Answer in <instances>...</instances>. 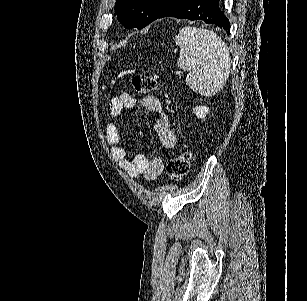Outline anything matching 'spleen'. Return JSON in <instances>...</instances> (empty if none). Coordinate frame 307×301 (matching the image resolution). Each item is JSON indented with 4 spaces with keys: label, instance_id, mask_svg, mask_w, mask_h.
<instances>
[{
    "label": "spleen",
    "instance_id": "3e777b00",
    "mask_svg": "<svg viewBox=\"0 0 307 301\" xmlns=\"http://www.w3.org/2000/svg\"><path fill=\"white\" fill-rule=\"evenodd\" d=\"M175 42L180 46L177 64L187 70L185 82L191 90L214 96L224 88L231 62L229 48L221 36L207 28L183 26Z\"/></svg>",
    "mask_w": 307,
    "mask_h": 301
}]
</instances>
